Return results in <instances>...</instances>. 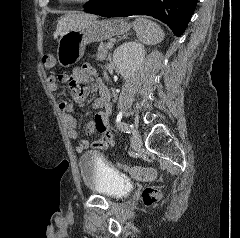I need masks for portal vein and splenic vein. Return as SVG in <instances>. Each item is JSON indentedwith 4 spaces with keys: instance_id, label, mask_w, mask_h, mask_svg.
Wrapping results in <instances>:
<instances>
[{
    "instance_id": "18ae733b",
    "label": "portal vein and splenic vein",
    "mask_w": 240,
    "mask_h": 238,
    "mask_svg": "<svg viewBox=\"0 0 240 238\" xmlns=\"http://www.w3.org/2000/svg\"><path fill=\"white\" fill-rule=\"evenodd\" d=\"M107 47H108V49L112 48L113 47V42H109Z\"/></svg>"
}]
</instances>
